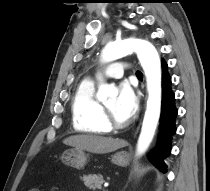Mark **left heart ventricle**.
I'll use <instances>...</instances> for the list:
<instances>
[{
    "label": "left heart ventricle",
    "instance_id": "left-heart-ventricle-1",
    "mask_svg": "<svg viewBox=\"0 0 210 191\" xmlns=\"http://www.w3.org/2000/svg\"><path fill=\"white\" fill-rule=\"evenodd\" d=\"M116 97L112 98L108 102L105 103V106L114 114L117 120L123 122L126 121L122 116H120L116 110Z\"/></svg>",
    "mask_w": 210,
    "mask_h": 191
}]
</instances>
